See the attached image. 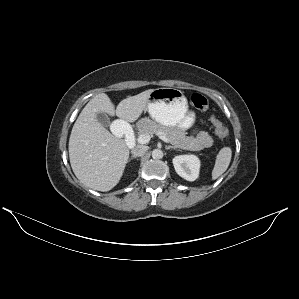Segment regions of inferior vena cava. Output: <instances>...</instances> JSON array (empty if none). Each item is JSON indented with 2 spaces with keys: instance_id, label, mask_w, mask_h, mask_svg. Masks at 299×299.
I'll return each instance as SVG.
<instances>
[{
  "instance_id": "inferior-vena-cava-1",
  "label": "inferior vena cava",
  "mask_w": 299,
  "mask_h": 299,
  "mask_svg": "<svg viewBox=\"0 0 299 299\" xmlns=\"http://www.w3.org/2000/svg\"><path fill=\"white\" fill-rule=\"evenodd\" d=\"M147 150H148V146L138 145L132 149L131 153L133 156L139 157V156H143Z\"/></svg>"
}]
</instances>
